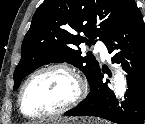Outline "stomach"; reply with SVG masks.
Listing matches in <instances>:
<instances>
[{"instance_id": "1", "label": "stomach", "mask_w": 145, "mask_h": 124, "mask_svg": "<svg viewBox=\"0 0 145 124\" xmlns=\"http://www.w3.org/2000/svg\"><path fill=\"white\" fill-rule=\"evenodd\" d=\"M43 124H104L94 119H70V118H56L51 119Z\"/></svg>"}]
</instances>
